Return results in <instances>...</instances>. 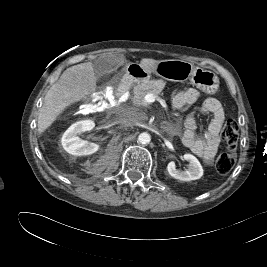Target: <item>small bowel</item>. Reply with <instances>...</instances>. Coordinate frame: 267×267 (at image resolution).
<instances>
[{
    "label": "small bowel",
    "mask_w": 267,
    "mask_h": 267,
    "mask_svg": "<svg viewBox=\"0 0 267 267\" xmlns=\"http://www.w3.org/2000/svg\"><path fill=\"white\" fill-rule=\"evenodd\" d=\"M198 97L199 92L194 88L181 91L173 97L172 107L175 110L185 109L193 104ZM200 111L212 116L205 136L203 138H197L196 113H192L184 121L182 143L198 157L210 163L218 151L220 131L225 115L220 101L216 98L206 99Z\"/></svg>",
    "instance_id": "1"
}]
</instances>
